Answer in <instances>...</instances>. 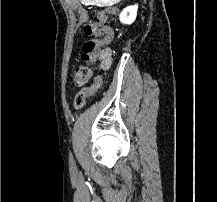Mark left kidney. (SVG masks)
I'll return each instance as SVG.
<instances>
[{"label":"left kidney","instance_id":"obj_1","mask_svg":"<svg viewBox=\"0 0 217 202\" xmlns=\"http://www.w3.org/2000/svg\"><path fill=\"white\" fill-rule=\"evenodd\" d=\"M137 16V6H128L120 14V22L122 24H133Z\"/></svg>","mask_w":217,"mask_h":202}]
</instances>
